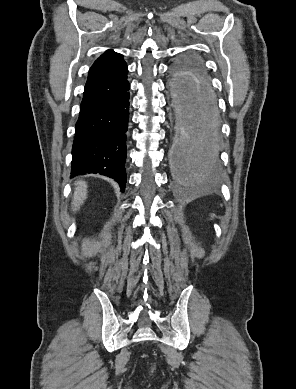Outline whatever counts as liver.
Segmentation results:
<instances>
[{
	"mask_svg": "<svg viewBox=\"0 0 296 389\" xmlns=\"http://www.w3.org/2000/svg\"><path fill=\"white\" fill-rule=\"evenodd\" d=\"M75 192L72 200V209L74 212L80 209V206L87 198V184L85 181H78L75 183Z\"/></svg>",
	"mask_w": 296,
	"mask_h": 389,
	"instance_id": "1",
	"label": "liver"
}]
</instances>
